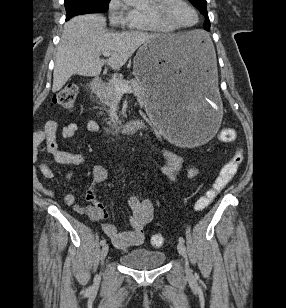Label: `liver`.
<instances>
[{
  "instance_id": "6515ba94",
  "label": "liver",
  "mask_w": 286,
  "mask_h": 308,
  "mask_svg": "<svg viewBox=\"0 0 286 308\" xmlns=\"http://www.w3.org/2000/svg\"><path fill=\"white\" fill-rule=\"evenodd\" d=\"M105 27V17L98 14L76 16L64 24L55 56L53 92L59 91L74 74L98 76L104 63L119 70L141 45L151 39L166 36L185 50L194 47L202 35H206L203 31L190 35L129 31L110 33ZM103 51L111 52L107 61L100 59Z\"/></svg>"
}]
</instances>
